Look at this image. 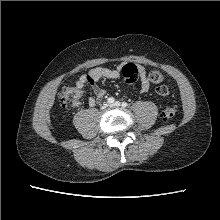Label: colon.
I'll return each instance as SVG.
<instances>
[{"instance_id": "1", "label": "colon", "mask_w": 220, "mask_h": 220, "mask_svg": "<svg viewBox=\"0 0 220 220\" xmlns=\"http://www.w3.org/2000/svg\"><path fill=\"white\" fill-rule=\"evenodd\" d=\"M121 75L125 83L133 84L139 77L145 76L146 79L157 85V93L161 96L169 94V88L165 84V77L163 73L157 69H141L134 64H126L121 69ZM81 88L79 87H66L60 93L59 99L61 106L65 109L75 104L81 97ZM176 108L174 106H168L163 109L161 117L167 121L172 119L176 114Z\"/></svg>"}]
</instances>
